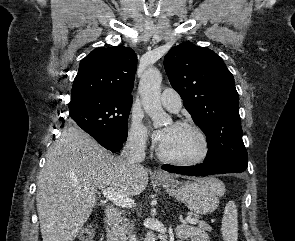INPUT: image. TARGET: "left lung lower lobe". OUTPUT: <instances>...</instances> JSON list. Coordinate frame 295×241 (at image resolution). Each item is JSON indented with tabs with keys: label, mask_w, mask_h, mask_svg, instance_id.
I'll return each instance as SVG.
<instances>
[{
	"label": "left lung lower lobe",
	"mask_w": 295,
	"mask_h": 241,
	"mask_svg": "<svg viewBox=\"0 0 295 241\" xmlns=\"http://www.w3.org/2000/svg\"><path fill=\"white\" fill-rule=\"evenodd\" d=\"M247 166H243L231 162H203L195 166H172L165 164L162 169L178 174L191 175V176H207L213 174H224V173H240L245 171Z\"/></svg>",
	"instance_id": "0a47b994"
}]
</instances>
